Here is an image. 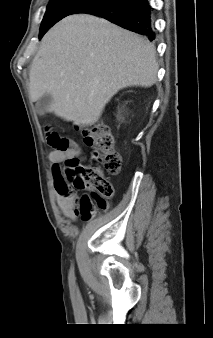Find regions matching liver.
<instances>
[{"label":"liver","instance_id":"obj_1","mask_svg":"<svg viewBox=\"0 0 213 338\" xmlns=\"http://www.w3.org/2000/svg\"><path fill=\"white\" fill-rule=\"evenodd\" d=\"M154 45L92 15H71L43 37L30 69V98L52 96L49 112L75 125L94 124L121 89L157 80Z\"/></svg>","mask_w":213,"mask_h":338}]
</instances>
